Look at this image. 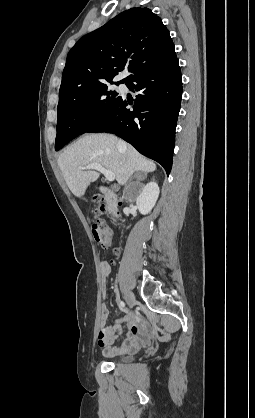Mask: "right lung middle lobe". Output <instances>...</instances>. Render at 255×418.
<instances>
[{
	"mask_svg": "<svg viewBox=\"0 0 255 418\" xmlns=\"http://www.w3.org/2000/svg\"><path fill=\"white\" fill-rule=\"evenodd\" d=\"M120 98L118 93L109 89L107 82L60 93L55 150L105 119Z\"/></svg>",
	"mask_w": 255,
	"mask_h": 418,
	"instance_id": "dd1d6c3e",
	"label": "right lung middle lobe"
}]
</instances>
